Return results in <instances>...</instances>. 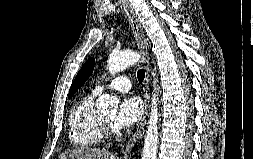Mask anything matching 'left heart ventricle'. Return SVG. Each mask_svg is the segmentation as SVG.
<instances>
[{"label": "left heart ventricle", "mask_w": 253, "mask_h": 159, "mask_svg": "<svg viewBox=\"0 0 253 159\" xmlns=\"http://www.w3.org/2000/svg\"><path fill=\"white\" fill-rule=\"evenodd\" d=\"M104 117L111 123L114 120V113L105 114Z\"/></svg>", "instance_id": "obj_1"}]
</instances>
